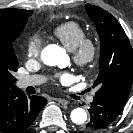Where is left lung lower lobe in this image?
Instances as JSON below:
<instances>
[{
  "label": "left lung lower lobe",
  "mask_w": 133,
  "mask_h": 133,
  "mask_svg": "<svg viewBox=\"0 0 133 133\" xmlns=\"http://www.w3.org/2000/svg\"><path fill=\"white\" fill-rule=\"evenodd\" d=\"M122 105L103 96H94L90 104V122L82 127L84 133H98L107 128L121 113Z\"/></svg>",
  "instance_id": "obj_1"
}]
</instances>
